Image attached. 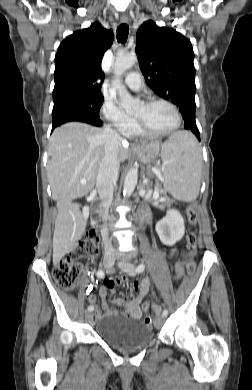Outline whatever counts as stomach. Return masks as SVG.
I'll return each mask as SVG.
<instances>
[{
  "label": "stomach",
  "mask_w": 252,
  "mask_h": 390,
  "mask_svg": "<svg viewBox=\"0 0 252 390\" xmlns=\"http://www.w3.org/2000/svg\"><path fill=\"white\" fill-rule=\"evenodd\" d=\"M159 150L160 145L156 142L136 147L134 152L144 164H148L156 159L157 155L159 154Z\"/></svg>",
  "instance_id": "stomach-1"
}]
</instances>
